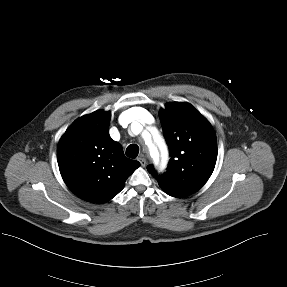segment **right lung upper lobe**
<instances>
[{
    "instance_id": "obj_1",
    "label": "right lung upper lobe",
    "mask_w": 287,
    "mask_h": 287,
    "mask_svg": "<svg viewBox=\"0 0 287 287\" xmlns=\"http://www.w3.org/2000/svg\"><path fill=\"white\" fill-rule=\"evenodd\" d=\"M110 112L103 110L74 121L61 137L57 159L69 189L83 200L105 203L124 187L140 166L125 157L122 146L109 135Z\"/></svg>"
}]
</instances>
